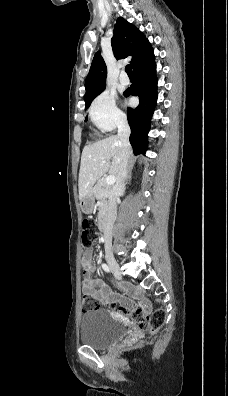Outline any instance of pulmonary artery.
Returning <instances> with one entry per match:
<instances>
[{
    "label": "pulmonary artery",
    "instance_id": "obj_1",
    "mask_svg": "<svg viewBox=\"0 0 228 396\" xmlns=\"http://www.w3.org/2000/svg\"><path fill=\"white\" fill-rule=\"evenodd\" d=\"M119 81L122 85H128L129 84V78L127 77L126 74L122 73L119 77Z\"/></svg>",
    "mask_w": 228,
    "mask_h": 396
}]
</instances>
